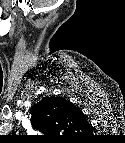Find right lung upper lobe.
I'll list each match as a JSON object with an SVG mask.
<instances>
[{"label":"right lung upper lobe","mask_w":125,"mask_h":143,"mask_svg":"<svg viewBox=\"0 0 125 143\" xmlns=\"http://www.w3.org/2000/svg\"><path fill=\"white\" fill-rule=\"evenodd\" d=\"M32 126L60 134H79L91 131L92 126L84 114L70 101L58 97H45L31 108Z\"/></svg>","instance_id":"cb5924a9"}]
</instances>
